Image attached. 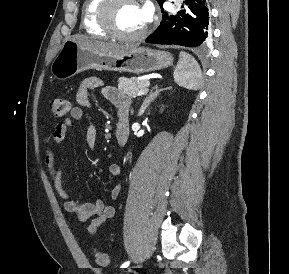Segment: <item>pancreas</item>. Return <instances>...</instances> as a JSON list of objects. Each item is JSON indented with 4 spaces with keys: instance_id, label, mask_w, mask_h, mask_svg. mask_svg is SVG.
<instances>
[{
    "instance_id": "obj_1",
    "label": "pancreas",
    "mask_w": 289,
    "mask_h": 274,
    "mask_svg": "<svg viewBox=\"0 0 289 274\" xmlns=\"http://www.w3.org/2000/svg\"><path fill=\"white\" fill-rule=\"evenodd\" d=\"M148 80H134L127 78H120L118 81V89L128 98L137 97L138 92L148 87Z\"/></svg>"
}]
</instances>
